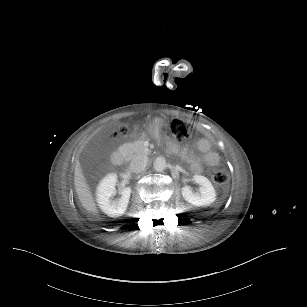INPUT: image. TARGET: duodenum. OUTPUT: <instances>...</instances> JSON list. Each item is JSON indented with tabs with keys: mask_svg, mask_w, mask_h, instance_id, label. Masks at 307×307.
Segmentation results:
<instances>
[{
	"mask_svg": "<svg viewBox=\"0 0 307 307\" xmlns=\"http://www.w3.org/2000/svg\"><path fill=\"white\" fill-rule=\"evenodd\" d=\"M125 153L123 150H118L113 153L112 162L115 165H121L124 162Z\"/></svg>",
	"mask_w": 307,
	"mask_h": 307,
	"instance_id": "1",
	"label": "duodenum"
}]
</instances>
